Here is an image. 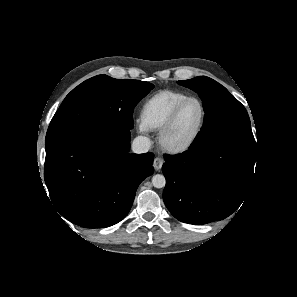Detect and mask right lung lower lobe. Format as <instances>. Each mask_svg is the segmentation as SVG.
Here are the masks:
<instances>
[{
    "mask_svg": "<svg viewBox=\"0 0 297 297\" xmlns=\"http://www.w3.org/2000/svg\"><path fill=\"white\" fill-rule=\"evenodd\" d=\"M130 130L94 132L46 152L44 179L60 214L104 228L129 212L137 187L153 173L152 153L130 154Z\"/></svg>",
    "mask_w": 297,
    "mask_h": 297,
    "instance_id": "obj_1",
    "label": "right lung lower lobe"
}]
</instances>
